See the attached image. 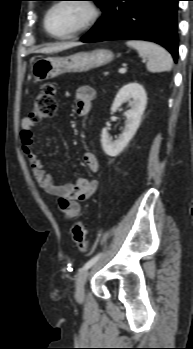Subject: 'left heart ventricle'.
<instances>
[{
    "label": "left heart ventricle",
    "mask_w": 193,
    "mask_h": 349,
    "mask_svg": "<svg viewBox=\"0 0 193 349\" xmlns=\"http://www.w3.org/2000/svg\"><path fill=\"white\" fill-rule=\"evenodd\" d=\"M89 16L90 11L83 3H64L50 13L48 27L56 35H65L83 25Z\"/></svg>",
    "instance_id": "b2bd125f"
}]
</instances>
